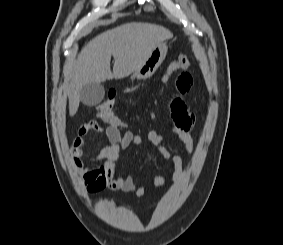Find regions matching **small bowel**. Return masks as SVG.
Instances as JSON below:
<instances>
[{"label":"small bowel","mask_w":283,"mask_h":245,"mask_svg":"<svg viewBox=\"0 0 283 245\" xmlns=\"http://www.w3.org/2000/svg\"><path fill=\"white\" fill-rule=\"evenodd\" d=\"M193 85V78L188 72H182L175 81L177 95L170 102V115L172 119L171 129L179 141L185 146L186 152L192 154L194 150V139L192 130L196 123V115L187 110L181 96L189 92ZM103 131L107 144L103 146L97 160L101 162L96 167H87L84 160L83 146L85 136L90 132ZM150 146L158 149L164 159L171 161V174L169 177L156 175L152 178L155 186H164L168 181L173 184L178 183L183 177V161L180 156L173 155L164 145L165 137L157 131H150L147 136ZM142 136L127 130L121 134L119 128L107 124L102 128L95 120L88 121L81 125L78 135L75 138L70 155L77 173L87 187L88 192L98 193L104 189L116 191L132 192L136 196H142L145 193V186H136L135 179L131 175L115 178V164L119 158L120 152L129 147H135L141 144Z\"/></svg>","instance_id":"1"}]
</instances>
